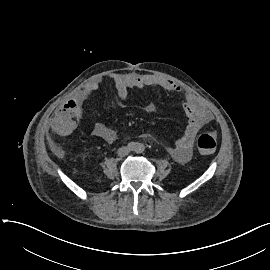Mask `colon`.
<instances>
[{
  "instance_id": "1",
  "label": "colon",
  "mask_w": 270,
  "mask_h": 270,
  "mask_svg": "<svg viewBox=\"0 0 270 270\" xmlns=\"http://www.w3.org/2000/svg\"><path fill=\"white\" fill-rule=\"evenodd\" d=\"M197 149L202 155L212 154L217 147V138L215 133L207 132L201 134L196 141Z\"/></svg>"
}]
</instances>
